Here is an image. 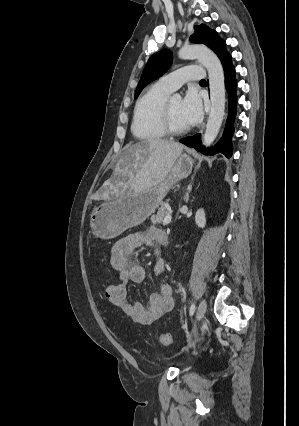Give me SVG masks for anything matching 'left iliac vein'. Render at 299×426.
Listing matches in <instances>:
<instances>
[{
  "instance_id": "left-iliac-vein-1",
  "label": "left iliac vein",
  "mask_w": 299,
  "mask_h": 426,
  "mask_svg": "<svg viewBox=\"0 0 299 426\" xmlns=\"http://www.w3.org/2000/svg\"><path fill=\"white\" fill-rule=\"evenodd\" d=\"M206 308H207L206 300L202 299L199 303V306L196 312V321H200L204 317Z\"/></svg>"
}]
</instances>
